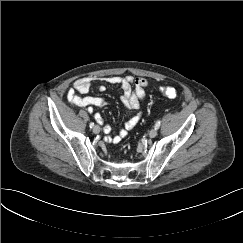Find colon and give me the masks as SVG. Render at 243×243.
Returning a JSON list of instances; mask_svg holds the SVG:
<instances>
[{
    "label": "colon",
    "instance_id": "1",
    "mask_svg": "<svg viewBox=\"0 0 243 243\" xmlns=\"http://www.w3.org/2000/svg\"><path fill=\"white\" fill-rule=\"evenodd\" d=\"M160 91L162 92V94H164L165 96H167L169 98H175L177 96L176 89L171 86L161 87Z\"/></svg>",
    "mask_w": 243,
    "mask_h": 243
}]
</instances>
